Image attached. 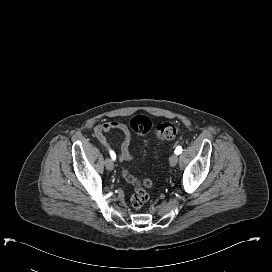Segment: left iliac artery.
Masks as SVG:
<instances>
[{"instance_id": "44dca946", "label": "left iliac artery", "mask_w": 272, "mask_h": 272, "mask_svg": "<svg viewBox=\"0 0 272 272\" xmlns=\"http://www.w3.org/2000/svg\"><path fill=\"white\" fill-rule=\"evenodd\" d=\"M174 152H175L176 155H179L182 152V147L177 146Z\"/></svg>"}]
</instances>
